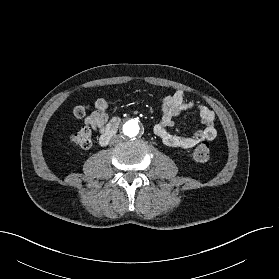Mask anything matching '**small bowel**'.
<instances>
[{"label": "small bowel", "mask_w": 279, "mask_h": 279, "mask_svg": "<svg viewBox=\"0 0 279 279\" xmlns=\"http://www.w3.org/2000/svg\"><path fill=\"white\" fill-rule=\"evenodd\" d=\"M161 108L162 116L154 125V133L166 146L191 149L200 143L212 141L216 137L213 111L200 102L186 100L184 91L177 90L165 96ZM186 111H196L203 128L189 136L171 133L169 128L174 125L175 119ZM112 120H109L107 100L99 98L94 104V110L85 118V124L103 134Z\"/></svg>", "instance_id": "small-bowel-1"}]
</instances>
